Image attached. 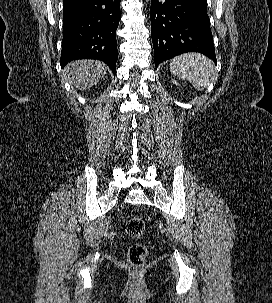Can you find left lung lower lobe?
Returning a JSON list of instances; mask_svg holds the SVG:
<instances>
[{
	"label": "left lung lower lobe",
	"mask_w": 272,
	"mask_h": 303,
	"mask_svg": "<svg viewBox=\"0 0 272 303\" xmlns=\"http://www.w3.org/2000/svg\"><path fill=\"white\" fill-rule=\"evenodd\" d=\"M207 0H151L155 65L185 52H200L215 63Z\"/></svg>",
	"instance_id": "1"
}]
</instances>
